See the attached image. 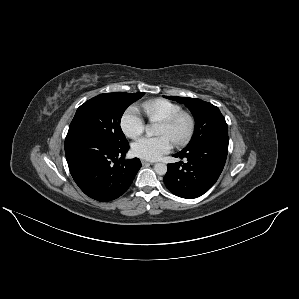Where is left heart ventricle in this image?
Masks as SVG:
<instances>
[{
  "label": "left heart ventricle",
  "instance_id": "left-heart-ventricle-1",
  "mask_svg": "<svg viewBox=\"0 0 299 299\" xmlns=\"http://www.w3.org/2000/svg\"><path fill=\"white\" fill-rule=\"evenodd\" d=\"M187 129V121L182 119L179 123L172 129L166 127L163 124H160L158 134L159 135H167L171 140L179 137L185 133Z\"/></svg>",
  "mask_w": 299,
  "mask_h": 299
}]
</instances>
